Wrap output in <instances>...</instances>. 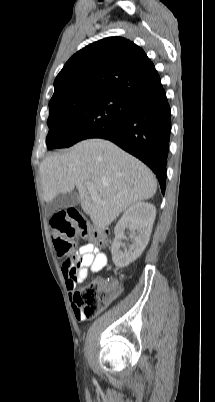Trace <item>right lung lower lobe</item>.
<instances>
[{
    "label": "right lung lower lobe",
    "mask_w": 215,
    "mask_h": 402,
    "mask_svg": "<svg viewBox=\"0 0 215 402\" xmlns=\"http://www.w3.org/2000/svg\"><path fill=\"white\" fill-rule=\"evenodd\" d=\"M170 132V106L163 89L134 100L120 122L90 138L110 140L143 161L156 174L164 194Z\"/></svg>",
    "instance_id": "right-lung-lower-lobe-1"
}]
</instances>
